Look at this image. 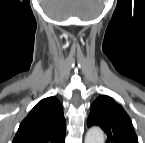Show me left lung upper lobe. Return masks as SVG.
<instances>
[{"label": "left lung upper lobe", "instance_id": "5c2ea615", "mask_svg": "<svg viewBox=\"0 0 145 143\" xmlns=\"http://www.w3.org/2000/svg\"><path fill=\"white\" fill-rule=\"evenodd\" d=\"M87 125L100 126L107 134L106 143H138L130 117L109 96L102 95L95 100Z\"/></svg>", "mask_w": 145, "mask_h": 143}]
</instances>
